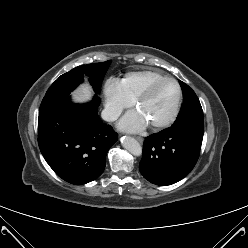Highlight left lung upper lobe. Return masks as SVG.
Segmentation results:
<instances>
[{"label": "left lung upper lobe", "instance_id": "5c2ea615", "mask_svg": "<svg viewBox=\"0 0 248 248\" xmlns=\"http://www.w3.org/2000/svg\"><path fill=\"white\" fill-rule=\"evenodd\" d=\"M179 83L184 95V104L182 111L175 122L188 121L193 118L203 117L202 107L195 92L184 82L180 81Z\"/></svg>", "mask_w": 248, "mask_h": 248}]
</instances>
